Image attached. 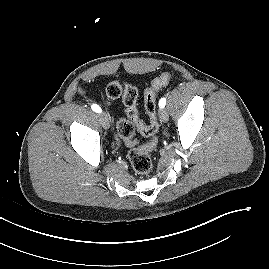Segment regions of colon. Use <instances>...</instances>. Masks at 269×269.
Returning <instances> with one entry per match:
<instances>
[{
    "label": "colon",
    "mask_w": 269,
    "mask_h": 269,
    "mask_svg": "<svg viewBox=\"0 0 269 269\" xmlns=\"http://www.w3.org/2000/svg\"><path fill=\"white\" fill-rule=\"evenodd\" d=\"M172 78L169 72H164L153 79L144 92V108L149 117L148 123L140 120L137 108L138 90L131 84L111 82L106 87V97L108 101L122 96L127 119H120L117 123V132L120 138L132 147L128 154L129 161L136 172L142 175H149L154 170V161L151 155L156 145V140L152 138L148 143L136 146L134 139L137 129L146 137H153L159 124L156 116V93L159 89L167 85Z\"/></svg>",
    "instance_id": "colon-1"
}]
</instances>
